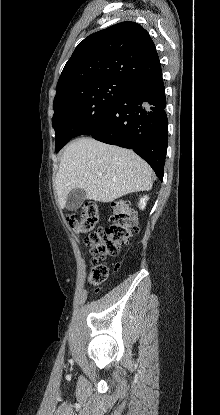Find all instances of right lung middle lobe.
Returning <instances> with one entry per match:
<instances>
[{
  "mask_svg": "<svg viewBox=\"0 0 220 415\" xmlns=\"http://www.w3.org/2000/svg\"><path fill=\"white\" fill-rule=\"evenodd\" d=\"M129 83L106 79L74 84L56 94L52 120L55 129V151L73 137L91 135L104 123L116 101L124 96Z\"/></svg>",
  "mask_w": 220,
  "mask_h": 415,
  "instance_id": "dd1d6c3e",
  "label": "right lung middle lobe"
}]
</instances>
